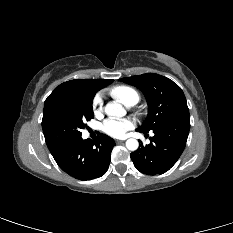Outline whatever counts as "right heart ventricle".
I'll return each mask as SVG.
<instances>
[{
  "mask_svg": "<svg viewBox=\"0 0 233 233\" xmlns=\"http://www.w3.org/2000/svg\"><path fill=\"white\" fill-rule=\"evenodd\" d=\"M110 94L126 106H132L139 102L140 95L136 89L127 85H118L110 90Z\"/></svg>",
  "mask_w": 233,
  "mask_h": 233,
  "instance_id": "obj_1",
  "label": "right heart ventricle"
}]
</instances>
